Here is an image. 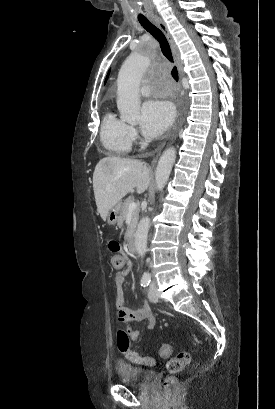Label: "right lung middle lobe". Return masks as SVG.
<instances>
[{
    "mask_svg": "<svg viewBox=\"0 0 275 409\" xmlns=\"http://www.w3.org/2000/svg\"><path fill=\"white\" fill-rule=\"evenodd\" d=\"M149 167H150L151 169H156V168L158 167V162H157L156 160H151V161L149 162Z\"/></svg>",
    "mask_w": 275,
    "mask_h": 409,
    "instance_id": "obj_1",
    "label": "right lung middle lobe"
}]
</instances>
